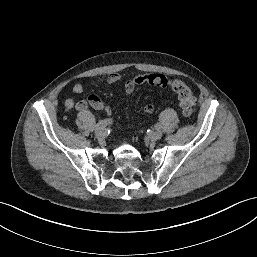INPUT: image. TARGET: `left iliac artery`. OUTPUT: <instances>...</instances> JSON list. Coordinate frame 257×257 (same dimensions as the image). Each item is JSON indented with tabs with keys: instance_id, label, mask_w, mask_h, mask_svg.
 <instances>
[{
	"instance_id": "1",
	"label": "left iliac artery",
	"mask_w": 257,
	"mask_h": 257,
	"mask_svg": "<svg viewBox=\"0 0 257 257\" xmlns=\"http://www.w3.org/2000/svg\"><path fill=\"white\" fill-rule=\"evenodd\" d=\"M160 128V125L157 123L156 125H155V129L157 130V129H159Z\"/></svg>"
}]
</instances>
